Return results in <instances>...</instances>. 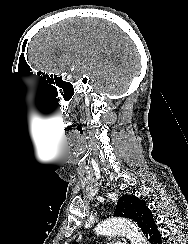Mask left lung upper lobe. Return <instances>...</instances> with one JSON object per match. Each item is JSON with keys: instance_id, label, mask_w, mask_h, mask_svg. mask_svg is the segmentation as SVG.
I'll use <instances>...</instances> for the list:
<instances>
[{"instance_id": "1", "label": "left lung upper lobe", "mask_w": 188, "mask_h": 244, "mask_svg": "<svg viewBox=\"0 0 188 244\" xmlns=\"http://www.w3.org/2000/svg\"><path fill=\"white\" fill-rule=\"evenodd\" d=\"M150 212L143 200L136 196L123 195L117 202L114 215L132 219L142 229L144 219Z\"/></svg>"}]
</instances>
